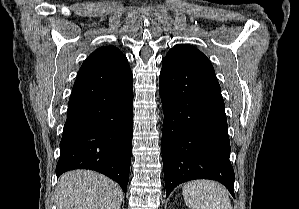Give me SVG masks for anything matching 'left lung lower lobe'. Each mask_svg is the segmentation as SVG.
Instances as JSON below:
<instances>
[{"instance_id":"1","label":"left lung lower lobe","mask_w":299,"mask_h":209,"mask_svg":"<svg viewBox=\"0 0 299 209\" xmlns=\"http://www.w3.org/2000/svg\"><path fill=\"white\" fill-rule=\"evenodd\" d=\"M159 91L166 197L192 179L216 180L235 197L225 104L214 69L163 60Z\"/></svg>"}]
</instances>
